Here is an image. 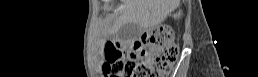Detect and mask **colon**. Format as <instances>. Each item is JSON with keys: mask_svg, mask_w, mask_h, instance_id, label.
Segmentation results:
<instances>
[{"mask_svg": "<svg viewBox=\"0 0 258 77\" xmlns=\"http://www.w3.org/2000/svg\"><path fill=\"white\" fill-rule=\"evenodd\" d=\"M103 71L120 77H163L177 59L178 47L167 26H158L142 36L140 42L125 49L107 47Z\"/></svg>", "mask_w": 258, "mask_h": 77, "instance_id": "1", "label": "colon"}]
</instances>
